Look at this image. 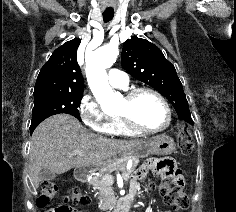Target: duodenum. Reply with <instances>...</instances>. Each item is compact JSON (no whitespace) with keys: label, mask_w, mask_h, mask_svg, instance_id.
Returning <instances> with one entry per match:
<instances>
[{"label":"duodenum","mask_w":236,"mask_h":212,"mask_svg":"<svg viewBox=\"0 0 236 212\" xmlns=\"http://www.w3.org/2000/svg\"><path fill=\"white\" fill-rule=\"evenodd\" d=\"M90 169L87 167H78L75 170V177L79 182H85L90 175ZM136 190L131 189L124 197L120 198L115 205L107 212H129L135 203Z\"/></svg>","instance_id":"obj_1"}]
</instances>
